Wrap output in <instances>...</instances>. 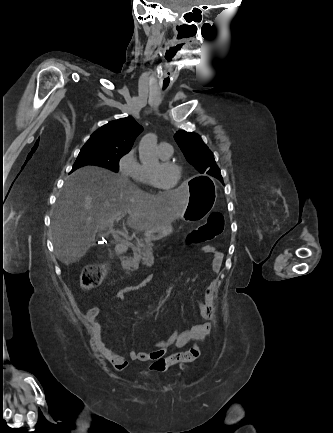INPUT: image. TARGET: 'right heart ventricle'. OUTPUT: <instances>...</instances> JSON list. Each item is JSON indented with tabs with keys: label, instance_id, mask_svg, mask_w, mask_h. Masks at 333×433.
I'll return each instance as SVG.
<instances>
[{
	"label": "right heart ventricle",
	"instance_id": "e07e8e85",
	"mask_svg": "<svg viewBox=\"0 0 333 433\" xmlns=\"http://www.w3.org/2000/svg\"><path fill=\"white\" fill-rule=\"evenodd\" d=\"M159 156H160V158L162 160L168 159V158L163 157L161 155H159ZM138 180L140 182L144 183V184L151 185V181H150V178H149V169L146 166H142V168H141V174H140V177H139Z\"/></svg>",
	"mask_w": 333,
	"mask_h": 433
}]
</instances>
